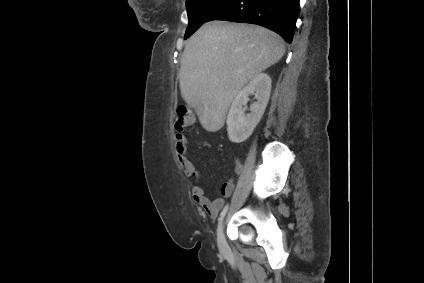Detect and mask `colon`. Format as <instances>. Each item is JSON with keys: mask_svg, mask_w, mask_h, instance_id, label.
Wrapping results in <instances>:
<instances>
[{"mask_svg": "<svg viewBox=\"0 0 424 283\" xmlns=\"http://www.w3.org/2000/svg\"><path fill=\"white\" fill-rule=\"evenodd\" d=\"M192 120L191 109L186 105H181L177 108L174 116V128L176 131H183Z\"/></svg>", "mask_w": 424, "mask_h": 283, "instance_id": "5ec220e1", "label": "colon"}]
</instances>
